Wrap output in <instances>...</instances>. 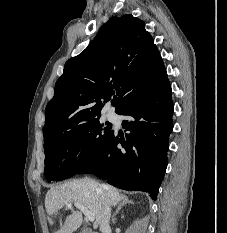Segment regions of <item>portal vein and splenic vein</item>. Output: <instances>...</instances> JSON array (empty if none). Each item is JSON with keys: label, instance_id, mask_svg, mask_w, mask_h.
<instances>
[{"label": "portal vein and splenic vein", "instance_id": "obj_1", "mask_svg": "<svg viewBox=\"0 0 227 233\" xmlns=\"http://www.w3.org/2000/svg\"><path fill=\"white\" fill-rule=\"evenodd\" d=\"M72 203H66V206L68 208L72 207ZM74 206L79 209L86 217L87 220L89 221H94L95 220V215L93 212L89 211L85 206L79 204V203H74Z\"/></svg>", "mask_w": 227, "mask_h": 233}]
</instances>
